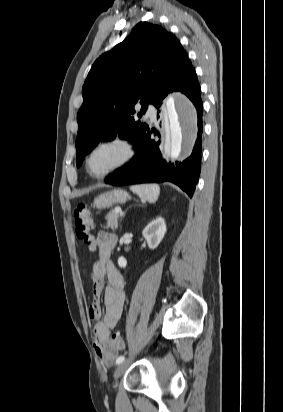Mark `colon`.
I'll return each instance as SVG.
<instances>
[{
	"label": "colon",
	"mask_w": 283,
	"mask_h": 412,
	"mask_svg": "<svg viewBox=\"0 0 283 412\" xmlns=\"http://www.w3.org/2000/svg\"><path fill=\"white\" fill-rule=\"evenodd\" d=\"M75 231L78 238L84 240L89 246L95 245L93 229V215L88 204H79L74 210ZM124 348V342L118 335L113 336L111 340L103 347V352L109 354L117 352Z\"/></svg>",
	"instance_id": "1"
}]
</instances>
